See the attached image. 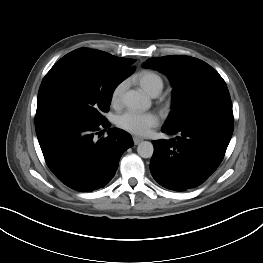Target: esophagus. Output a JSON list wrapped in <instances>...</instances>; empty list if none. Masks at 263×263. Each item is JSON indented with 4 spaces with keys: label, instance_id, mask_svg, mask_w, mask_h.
Segmentation results:
<instances>
[{
    "label": "esophagus",
    "instance_id": "34e87169",
    "mask_svg": "<svg viewBox=\"0 0 263 263\" xmlns=\"http://www.w3.org/2000/svg\"><path fill=\"white\" fill-rule=\"evenodd\" d=\"M133 141H134V144H135V145H138L140 142L143 141V139H142L141 137L134 136V137H133Z\"/></svg>",
    "mask_w": 263,
    "mask_h": 263
}]
</instances>
